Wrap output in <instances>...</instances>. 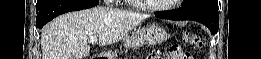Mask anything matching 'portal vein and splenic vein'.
Listing matches in <instances>:
<instances>
[{"mask_svg": "<svg viewBox=\"0 0 261 59\" xmlns=\"http://www.w3.org/2000/svg\"><path fill=\"white\" fill-rule=\"evenodd\" d=\"M90 42H91L92 44L96 43V42H97V37H91V38H90Z\"/></svg>", "mask_w": 261, "mask_h": 59, "instance_id": "obj_1", "label": "portal vein and splenic vein"}]
</instances>
